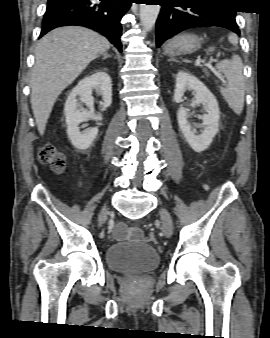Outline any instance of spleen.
Listing matches in <instances>:
<instances>
[{"mask_svg":"<svg viewBox=\"0 0 270 338\" xmlns=\"http://www.w3.org/2000/svg\"><path fill=\"white\" fill-rule=\"evenodd\" d=\"M216 68L227 79V84L220 87L223 98L236 114H240L243 110L245 95V79L241 58L233 54L231 59L217 63Z\"/></svg>","mask_w":270,"mask_h":338,"instance_id":"obj_1","label":"spleen"}]
</instances>
